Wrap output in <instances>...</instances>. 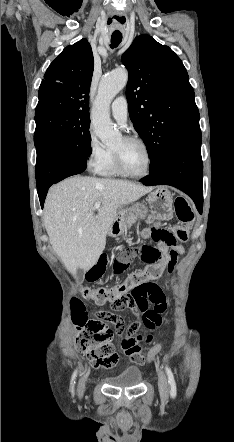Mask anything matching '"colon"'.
Returning <instances> with one entry per match:
<instances>
[{"label": "colon", "instance_id": "5ec220e1", "mask_svg": "<svg viewBox=\"0 0 234 442\" xmlns=\"http://www.w3.org/2000/svg\"><path fill=\"white\" fill-rule=\"evenodd\" d=\"M174 207L179 224L172 231H164L155 227L149 228L151 238L157 246L142 245L139 248L120 253L113 261L112 274L120 275L123 273L136 256H139L148 265L144 269L131 274L119 285L110 288H86L83 290L84 297L98 304L111 303L115 310L131 309L137 316L163 314L166 309L165 296L148 281L157 279L162 275L165 267L158 262L160 256L168 250L171 252L177 240L183 242L188 240L189 231L194 221V212L186 198L176 197ZM106 263V257L101 256L98 262L88 271L87 279L89 281L99 279L105 272ZM130 286H133V288L128 289ZM149 302L154 305L152 309H148ZM73 308L74 323L79 330L75 338L76 348L83 352L88 361L96 367L108 368L113 366L117 357L110 343L111 331L108 329L99 331L97 328H90L80 300L76 299L74 301ZM118 334L121 335V333ZM161 350L160 342H157V345H150L146 354L148 359L144 361V364L149 366L155 360L154 356H158Z\"/></svg>", "mask_w": 234, "mask_h": 442}]
</instances>
